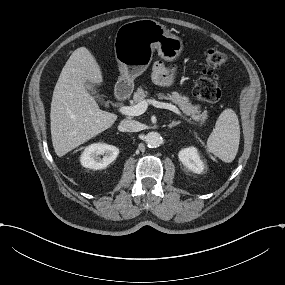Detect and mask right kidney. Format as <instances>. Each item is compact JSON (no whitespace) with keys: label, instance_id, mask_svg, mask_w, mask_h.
Instances as JSON below:
<instances>
[{"label":"right kidney","instance_id":"right-kidney-1","mask_svg":"<svg viewBox=\"0 0 285 285\" xmlns=\"http://www.w3.org/2000/svg\"><path fill=\"white\" fill-rule=\"evenodd\" d=\"M119 154V149L105 143H94L87 146L80 156V163L85 168L103 169L113 162ZM98 155H104L101 159Z\"/></svg>","mask_w":285,"mask_h":285}]
</instances>
